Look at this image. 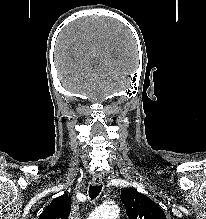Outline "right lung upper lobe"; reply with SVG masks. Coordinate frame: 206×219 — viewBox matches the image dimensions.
<instances>
[{
    "label": "right lung upper lobe",
    "instance_id": "cb5924a9",
    "mask_svg": "<svg viewBox=\"0 0 206 219\" xmlns=\"http://www.w3.org/2000/svg\"><path fill=\"white\" fill-rule=\"evenodd\" d=\"M71 210V199L67 195L57 197L39 216V219H68Z\"/></svg>",
    "mask_w": 206,
    "mask_h": 219
}]
</instances>
